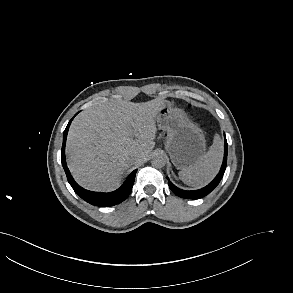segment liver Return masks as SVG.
<instances>
[{"label": "liver", "mask_w": 293, "mask_h": 293, "mask_svg": "<svg viewBox=\"0 0 293 293\" xmlns=\"http://www.w3.org/2000/svg\"><path fill=\"white\" fill-rule=\"evenodd\" d=\"M161 98L142 103L114 101L90 107L73 120L66 142L68 167L75 180L93 191L118 187L122 174L144 161L155 146Z\"/></svg>", "instance_id": "1"}]
</instances>
